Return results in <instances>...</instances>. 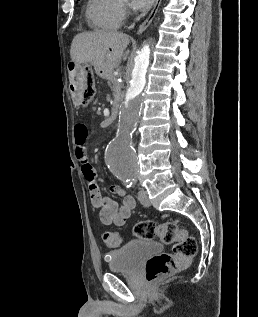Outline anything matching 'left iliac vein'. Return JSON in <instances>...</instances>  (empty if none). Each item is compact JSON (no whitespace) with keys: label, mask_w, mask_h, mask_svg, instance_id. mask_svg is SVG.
Returning <instances> with one entry per match:
<instances>
[{"label":"left iliac vein","mask_w":258,"mask_h":317,"mask_svg":"<svg viewBox=\"0 0 258 317\" xmlns=\"http://www.w3.org/2000/svg\"><path fill=\"white\" fill-rule=\"evenodd\" d=\"M137 199H138L141 203H144V204L146 205V207H147V206H149V207L151 206V205L149 204L150 199L148 198V194L145 193L144 190H139V191H138ZM148 204H149V205H148Z\"/></svg>","instance_id":"left-iliac-vein-1"}]
</instances>
